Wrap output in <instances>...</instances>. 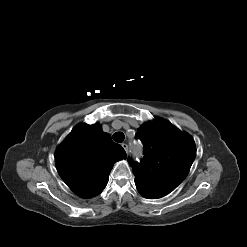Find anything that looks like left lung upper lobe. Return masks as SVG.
Masks as SVG:
<instances>
[{"mask_svg":"<svg viewBox=\"0 0 247 247\" xmlns=\"http://www.w3.org/2000/svg\"><path fill=\"white\" fill-rule=\"evenodd\" d=\"M145 147L140 163L128 159L141 195L161 198L173 191L188 175L196 157L193 138L170 122L156 118L137 129Z\"/></svg>","mask_w":247,"mask_h":247,"instance_id":"left-lung-upper-lobe-1","label":"left lung upper lobe"}]
</instances>
